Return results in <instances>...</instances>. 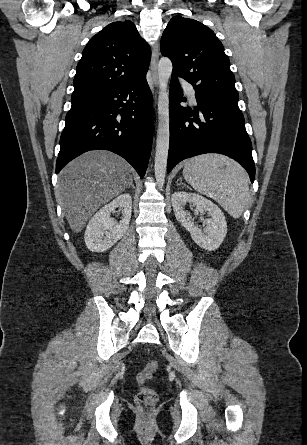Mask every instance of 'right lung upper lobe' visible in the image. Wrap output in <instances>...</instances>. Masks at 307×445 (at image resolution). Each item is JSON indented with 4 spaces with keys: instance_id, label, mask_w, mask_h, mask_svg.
<instances>
[{
    "instance_id": "obj_1",
    "label": "right lung upper lobe",
    "mask_w": 307,
    "mask_h": 445,
    "mask_svg": "<svg viewBox=\"0 0 307 445\" xmlns=\"http://www.w3.org/2000/svg\"><path fill=\"white\" fill-rule=\"evenodd\" d=\"M149 45L131 21L113 22L94 35L76 68L73 97L128 84L146 75Z\"/></svg>"
}]
</instances>
